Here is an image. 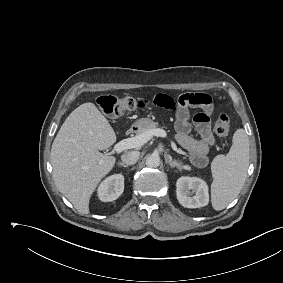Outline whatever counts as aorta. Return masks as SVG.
Returning a JSON list of instances; mask_svg holds the SVG:
<instances>
[{
  "instance_id": "1",
  "label": "aorta",
  "mask_w": 283,
  "mask_h": 283,
  "mask_svg": "<svg viewBox=\"0 0 283 283\" xmlns=\"http://www.w3.org/2000/svg\"><path fill=\"white\" fill-rule=\"evenodd\" d=\"M146 165L148 167H158L160 165V158L158 155H150L146 158Z\"/></svg>"
}]
</instances>
